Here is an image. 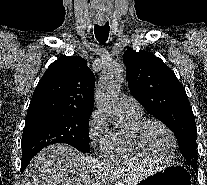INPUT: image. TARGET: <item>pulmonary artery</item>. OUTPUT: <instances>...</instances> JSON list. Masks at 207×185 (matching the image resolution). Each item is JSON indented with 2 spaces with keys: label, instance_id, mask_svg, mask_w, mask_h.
Instances as JSON below:
<instances>
[{
  "label": "pulmonary artery",
  "instance_id": "obj_1",
  "mask_svg": "<svg viewBox=\"0 0 207 185\" xmlns=\"http://www.w3.org/2000/svg\"><path fill=\"white\" fill-rule=\"evenodd\" d=\"M120 106L124 112L128 113H140L141 106L139 103L130 96L121 95L120 96Z\"/></svg>",
  "mask_w": 207,
  "mask_h": 185
}]
</instances>
